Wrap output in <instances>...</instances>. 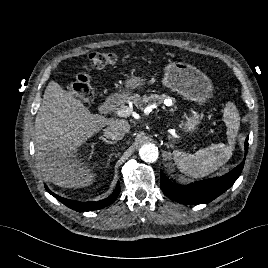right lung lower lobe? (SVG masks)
<instances>
[{"instance_id":"right-lung-lower-lobe-1","label":"right lung lower lobe","mask_w":268,"mask_h":268,"mask_svg":"<svg viewBox=\"0 0 268 268\" xmlns=\"http://www.w3.org/2000/svg\"><path fill=\"white\" fill-rule=\"evenodd\" d=\"M45 188L52 196H54L56 199H58L64 205H66L67 207H69L73 210L81 211V212L93 211V210H97V209L106 207V206L112 204L116 200L117 196L120 193V184L118 182L115 191L108 198L101 200V201H97V202H94V201L79 202V201L68 200L66 198L60 197V196L54 194L52 191H50L47 186H45Z\"/></svg>"}]
</instances>
